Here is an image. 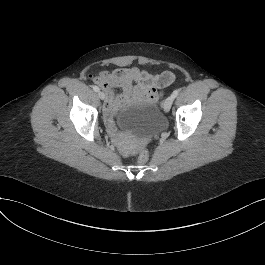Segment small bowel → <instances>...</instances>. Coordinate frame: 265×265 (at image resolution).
I'll use <instances>...</instances> for the list:
<instances>
[{
	"label": "small bowel",
	"instance_id": "c3829d8e",
	"mask_svg": "<svg viewBox=\"0 0 265 265\" xmlns=\"http://www.w3.org/2000/svg\"><path fill=\"white\" fill-rule=\"evenodd\" d=\"M114 64L118 68L93 77L94 83L104 91V118L109 125L116 112L124 105L157 102L161 97V90L175 79V75L169 71L152 75L138 67H129V62L123 58H116ZM117 88L121 93L115 92Z\"/></svg>",
	"mask_w": 265,
	"mask_h": 265
}]
</instances>
